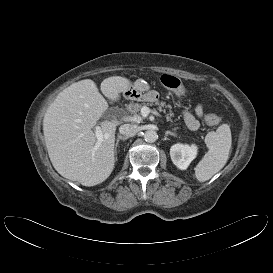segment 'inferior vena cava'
Segmentation results:
<instances>
[{
	"label": "inferior vena cava",
	"mask_w": 273,
	"mask_h": 273,
	"mask_svg": "<svg viewBox=\"0 0 273 273\" xmlns=\"http://www.w3.org/2000/svg\"><path fill=\"white\" fill-rule=\"evenodd\" d=\"M138 131V127L131 124H124L119 128V132L126 137L135 136Z\"/></svg>",
	"instance_id": "obj_1"
}]
</instances>
